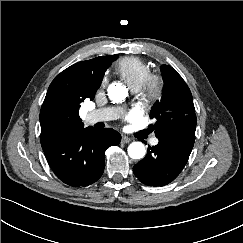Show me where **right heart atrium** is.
Segmentation results:
<instances>
[{
  "mask_svg": "<svg viewBox=\"0 0 243 243\" xmlns=\"http://www.w3.org/2000/svg\"><path fill=\"white\" fill-rule=\"evenodd\" d=\"M107 82H108V78H107V76H104L102 81H101V86L105 87L107 85Z\"/></svg>",
  "mask_w": 243,
  "mask_h": 243,
  "instance_id": "d8ad5b80",
  "label": "right heart atrium"
}]
</instances>
